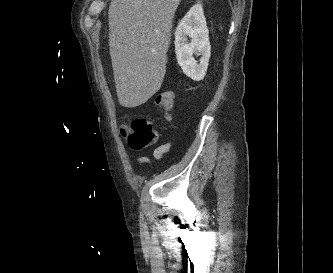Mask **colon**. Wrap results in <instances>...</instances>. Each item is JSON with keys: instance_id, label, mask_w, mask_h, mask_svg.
Returning <instances> with one entry per match:
<instances>
[{"instance_id": "colon-1", "label": "colon", "mask_w": 333, "mask_h": 273, "mask_svg": "<svg viewBox=\"0 0 333 273\" xmlns=\"http://www.w3.org/2000/svg\"><path fill=\"white\" fill-rule=\"evenodd\" d=\"M156 105L159 110L170 119L174 107V95L171 91H163L156 97ZM121 134L134 150H142L151 146L156 138L157 132L153 124L146 119L136 118L121 126Z\"/></svg>"}]
</instances>
